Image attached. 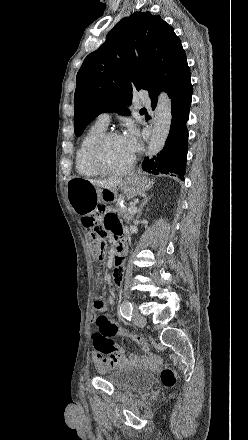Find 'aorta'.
Here are the masks:
<instances>
[{"instance_id":"762f6f07","label":"aorta","mask_w":248,"mask_h":440,"mask_svg":"<svg viewBox=\"0 0 248 440\" xmlns=\"http://www.w3.org/2000/svg\"><path fill=\"white\" fill-rule=\"evenodd\" d=\"M171 120V100L165 92H162L158 97L154 126L148 144L147 155L150 158L157 155L163 149L170 132Z\"/></svg>"}]
</instances>
